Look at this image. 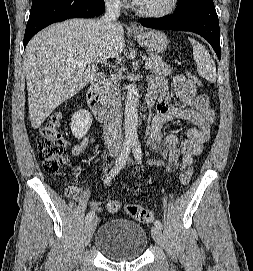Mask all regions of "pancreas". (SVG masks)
Returning <instances> with one entry per match:
<instances>
[{"label":"pancreas","instance_id":"obj_1","mask_svg":"<svg viewBox=\"0 0 253 271\" xmlns=\"http://www.w3.org/2000/svg\"><path fill=\"white\" fill-rule=\"evenodd\" d=\"M149 61L153 63L151 70L156 75L168 76L172 74L171 68L158 55H151L149 58H147V62ZM118 77H119L118 73H113L109 79L104 80L102 82L101 86L102 97L105 96L106 91L111 86V84L117 83Z\"/></svg>","mask_w":253,"mask_h":271}]
</instances>
